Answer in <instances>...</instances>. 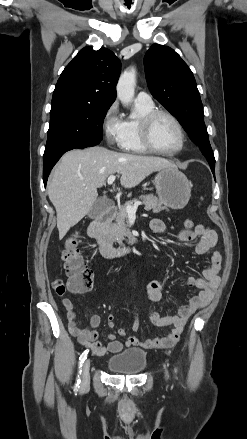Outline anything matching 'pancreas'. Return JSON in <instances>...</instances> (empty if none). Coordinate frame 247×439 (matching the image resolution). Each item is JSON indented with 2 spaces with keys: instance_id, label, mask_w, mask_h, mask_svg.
Here are the masks:
<instances>
[{
  "instance_id": "cf45deb5",
  "label": "pancreas",
  "mask_w": 247,
  "mask_h": 439,
  "mask_svg": "<svg viewBox=\"0 0 247 439\" xmlns=\"http://www.w3.org/2000/svg\"><path fill=\"white\" fill-rule=\"evenodd\" d=\"M138 200H142L143 204L145 205L144 209L146 211L152 210L153 213H159L164 209L168 211L167 207H164L162 202L152 194L141 195L138 199H132L128 201L125 206L119 208L117 216L115 218V222L112 223L108 229V235L110 239L113 242L117 243L119 246L124 245L123 241L125 240V237H128L130 240L132 239L131 231L129 229L126 206L131 205Z\"/></svg>"
}]
</instances>
